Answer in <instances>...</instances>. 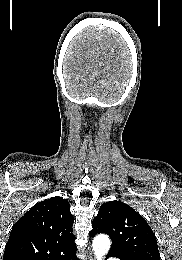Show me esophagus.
I'll return each instance as SVG.
<instances>
[{
  "label": "esophagus",
  "instance_id": "34e87169",
  "mask_svg": "<svg viewBox=\"0 0 182 260\" xmlns=\"http://www.w3.org/2000/svg\"><path fill=\"white\" fill-rule=\"evenodd\" d=\"M90 260H93V259H92V256H90Z\"/></svg>",
  "mask_w": 182,
  "mask_h": 260
}]
</instances>
